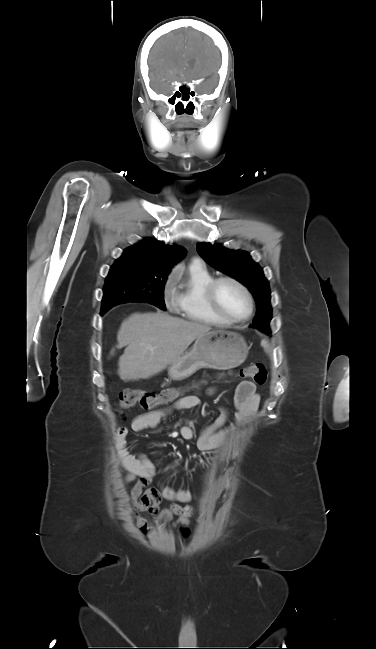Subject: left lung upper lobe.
Masks as SVG:
<instances>
[{
    "mask_svg": "<svg viewBox=\"0 0 376 649\" xmlns=\"http://www.w3.org/2000/svg\"><path fill=\"white\" fill-rule=\"evenodd\" d=\"M197 250L207 263L235 278L254 294L257 312L253 325L268 333L271 320L270 289L259 265L251 259L247 252L229 250L221 244L199 243Z\"/></svg>",
    "mask_w": 376,
    "mask_h": 649,
    "instance_id": "left-lung-upper-lobe-1",
    "label": "left lung upper lobe"
}]
</instances>
